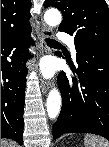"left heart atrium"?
Instances as JSON below:
<instances>
[{
    "label": "left heart atrium",
    "instance_id": "39dd6f15",
    "mask_svg": "<svg viewBox=\"0 0 109 147\" xmlns=\"http://www.w3.org/2000/svg\"><path fill=\"white\" fill-rule=\"evenodd\" d=\"M44 72L47 76H50L52 74V68L50 65L46 64L44 67Z\"/></svg>",
    "mask_w": 109,
    "mask_h": 147
}]
</instances>
